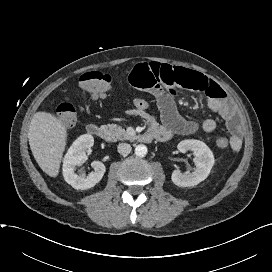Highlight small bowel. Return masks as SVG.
Masks as SVG:
<instances>
[{
    "label": "small bowel",
    "instance_id": "1",
    "mask_svg": "<svg viewBox=\"0 0 272 272\" xmlns=\"http://www.w3.org/2000/svg\"><path fill=\"white\" fill-rule=\"evenodd\" d=\"M130 82L136 88L154 96L160 112L161 123L156 116L146 110L133 108L129 114L144 119L155 139L161 142L177 136H187L198 132H213L217 128L215 119L202 122L188 120L181 116L173 95L181 89L203 93L208 98L209 108L225 121L230 133L229 146L234 151L242 147V133L239 117L234 105L225 91L214 81L199 72L158 62H142L136 65L129 75Z\"/></svg>",
    "mask_w": 272,
    "mask_h": 272
}]
</instances>
